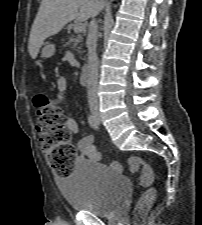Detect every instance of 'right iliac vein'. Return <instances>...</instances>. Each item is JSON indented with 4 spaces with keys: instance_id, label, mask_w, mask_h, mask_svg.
<instances>
[{
    "instance_id": "obj_1",
    "label": "right iliac vein",
    "mask_w": 202,
    "mask_h": 225,
    "mask_svg": "<svg viewBox=\"0 0 202 225\" xmlns=\"http://www.w3.org/2000/svg\"><path fill=\"white\" fill-rule=\"evenodd\" d=\"M93 114H94V116H95L96 118H98V113H97L96 110H93Z\"/></svg>"
}]
</instances>
